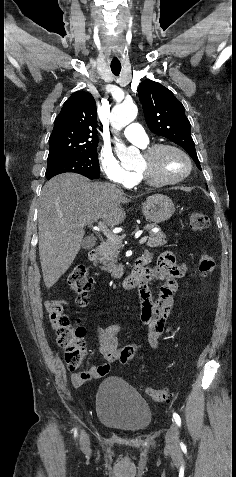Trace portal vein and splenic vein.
Here are the masks:
<instances>
[{
    "instance_id": "1",
    "label": "portal vein and splenic vein",
    "mask_w": 236,
    "mask_h": 477,
    "mask_svg": "<svg viewBox=\"0 0 236 477\" xmlns=\"http://www.w3.org/2000/svg\"><path fill=\"white\" fill-rule=\"evenodd\" d=\"M96 228L101 230L108 240L113 242H120L119 236L111 232L104 223L99 222ZM146 241H147V237L144 236L139 240V243L144 244Z\"/></svg>"
}]
</instances>
